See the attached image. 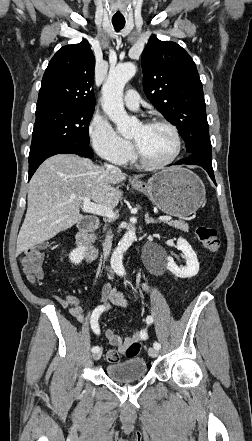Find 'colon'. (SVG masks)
Returning <instances> with one entry per match:
<instances>
[{"label":"colon","instance_id":"colon-1","mask_svg":"<svg viewBox=\"0 0 252 441\" xmlns=\"http://www.w3.org/2000/svg\"><path fill=\"white\" fill-rule=\"evenodd\" d=\"M195 235L199 242L211 253H215L220 249L221 242L214 228L206 225H199L195 228ZM43 249L42 247H32L28 249L21 257L20 264L26 274L28 280L35 283L42 279L43 270ZM140 351V344L135 342L131 344L125 355L132 358ZM109 363H118L121 359L120 352L117 350H109L106 354Z\"/></svg>","mask_w":252,"mask_h":441}]
</instances>
